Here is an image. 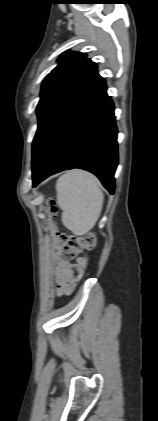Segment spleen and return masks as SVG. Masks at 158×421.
Wrapping results in <instances>:
<instances>
[{
  "label": "spleen",
  "instance_id": "3e777b00",
  "mask_svg": "<svg viewBox=\"0 0 158 421\" xmlns=\"http://www.w3.org/2000/svg\"><path fill=\"white\" fill-rule=\"evenodd\" d=\"M56 191L64 226L76 235L87 233L101 214L100 181L88 172L72 170L58 178Z\"/></svg>",
  "mask_w": 158,
  "mask_h": 421
}]
</instances>
